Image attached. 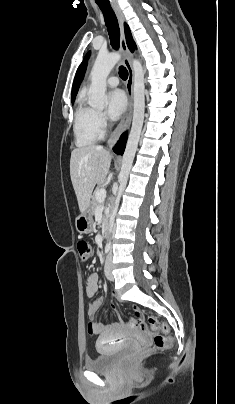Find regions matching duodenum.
Masks as SVG:
<instances>
[{"mask_svg":"<svg viewBox=\"0 0 235 404\" xmlns=\"http://www.w3.org/2000/svg\"><path fill=\"white\" fill-rule=\"evenodd\" d=\"M104 238H107V233H105Z\"/></svg>","mask_w":235,"mask_h":404,"instance_id":"duodenum-1","label":"duodenum"}]
</instances>
